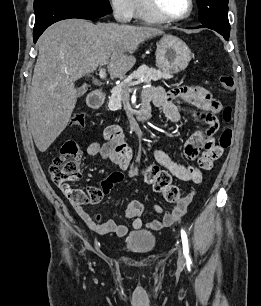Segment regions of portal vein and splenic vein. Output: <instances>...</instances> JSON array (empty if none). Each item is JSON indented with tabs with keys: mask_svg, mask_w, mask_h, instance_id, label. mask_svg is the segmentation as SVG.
<instances>
[{
	"mask_svg": "<svg viewBox=\"0 0 261 306\" xmlns=\"http://www.w3.org/2000/svg\"><path fill=\"white\" fill-rule=\"evenodd\" d=\"M99 77L101 79H106V72H105V69L101 67L100 71H99ZM141 82L140 81H135V82H132L130 83V85H138L140 84Z\"/></svg>",
	"mask_w": 261,
	"mask_h": 306,
	"instance_id": "18ae733b",
	"label": "portal vein and splenic vein"
}]
</instances>
